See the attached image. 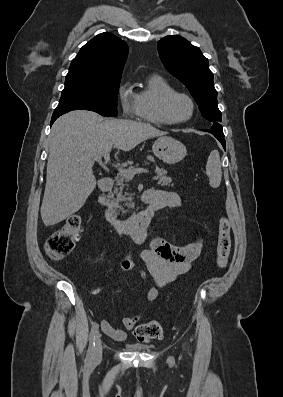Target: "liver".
<instances>
[{
	"label": "liver",
	"instance_id": "6515ba94",
	"mask_svg": "<svg viewBox=\"0 0 283 397\" xmlns=\"http://www.w3.org/2000/svg\"><path fill=\"white\" fill-rule=\"evenodd\" d=\"M147 123L104 120L88 110L71 111L56 120L49 139V156L41 217L55 225L77 212L96 187L92 167L96 158L115 146L125 152L141 142L163 136Z\"/></svg>",
	"mask_w": 283,
	"mask_h": 397
}]
</instances>
